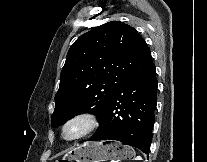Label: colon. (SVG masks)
<instances>
[{
	"label": "colon",
	"instance_id": "5ec220e1",
	"mask_svg": "<svg viewBox=\"0 0 207 162\" xmlns=\"http://www.w3.org/2000/svg\"><path fill=\"white\" fill-rule=\"evenodd\" d=\"M59 162H70V161H68V160H60Z\"/></svg>",
	"mask_w": 207,
	"mask_h": 162
}]
</instances>
